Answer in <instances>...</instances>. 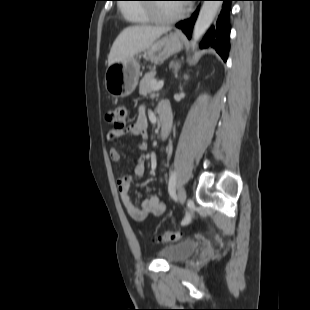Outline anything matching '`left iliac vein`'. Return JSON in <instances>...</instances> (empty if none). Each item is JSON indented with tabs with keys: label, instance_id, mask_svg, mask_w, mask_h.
Segmentation results:
<instances>
[{
	"label": "left iliac vein",
	"instance_id": "left-iliac-vein-1",
	"mask_svg": "<svg viewBox=\"0 0 310 310\" xmlns=\"http://www.w3.org/2000/svg\"><path fill=\"white\" fill-rule=\"evenodd\" d=\"M177 198L181 204H184L186 201V191L184 188L180 187L178 190Z\"/></svg>",
	"mask_w": 310,
	"mask_h": 310
}]
</instances>
